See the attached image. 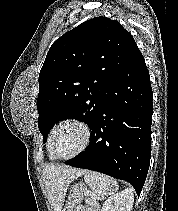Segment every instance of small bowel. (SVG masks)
I'll list each match as a JSON object with an SVG mask.
<instances>
[{
	"mask_svg": "<svg viewBox=\"0 0 178 211\" xmlns=\"http://www.w3.org/2000/svg\"><path fill=\"white\" fill-rule=\"evenodd\" d=\"M76 211H100V205L96 201L86 200L85 205Z\"/></svg>",
	"mask_w": 178,
	"mask_h": 211,
	"instance_id": "c3829d8e",
	"label": "small bowel"
}]
</instances>
